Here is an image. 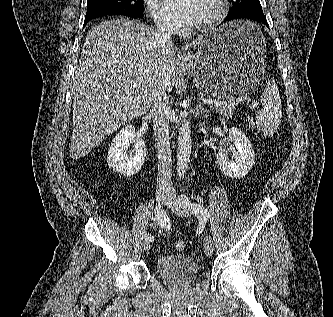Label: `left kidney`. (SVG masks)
<instances>
[{"label": "left kidney", "mask_w": 333, "mask_h": 317, "mask_svg": "<svg viewBox=\"0 0 333 317\" xmlns=\"http://www.w3.org/2000/svg\"><path fill=\"white\" fill-rule=\"evenodd\" d=\"M215 133L222 132L221 128L213 127ZM229 137L237 149V155L230 160L224 151L217 153V164L220 170L230 178H241L248 174L255 164V152L245 134L238 128L229 129Z\"/></svg>", "instance_id": "left-kidney-1"}]
</instances>
